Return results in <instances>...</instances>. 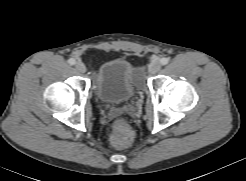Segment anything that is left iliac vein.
Wrapping results in <instances>:
<instances>
[{
  "mask_svg": "<svg viewBox=\"0 0 246 181\" xmlns=\"http://www.w3.org/2000/svg\"><path fill=\"white\" fill-rule=\"evenodd\" d=\"M161 69V64L158 61H153L150 63L148 70L150 73L155 74Z\"/></svg>",
  "mask_w": 246,
  "mask_h": 181,
  "instance_id": "1",
  "label": "left iliac vein"
}]
</instances>
